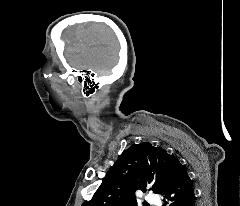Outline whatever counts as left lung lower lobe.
<instances>
[{"instance_id": "obj_1", "label": "left lung lower lobe", "mask_w": 240, "mask_h": 206, "mask_svg": "<svg viewBox=\"0 0 240 206\" xmlns=\"http://www.w3.org/2000/svg\"><path fill=\"white\" fill-rule=\"evenodd\" d=\"M163 197V206H195L192 180L179 161L176 162L175 171Z\"/></svg>"}]
</instances>
